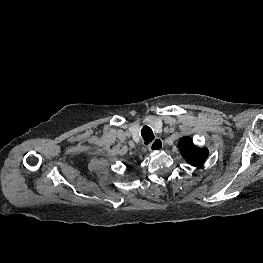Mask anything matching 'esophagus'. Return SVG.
Listing matches in <instances>:
<instances>
[{"mask_svg": "<svg viewBox=\"0 0 263 263\" xmlns=\"http://www.w3.org/2000/svg\"><path fill=\"white\" fill-rule=\"evenodd\" d=\"M164 144L161 138H156L154 141H152L149 146L148 149L149 151L153 152V151H158L161 150L163 148Z\"/></svg>", "mask_w": 263, "mask_h": 263, "instance_id": "esophagus-1", "label": "esophagus"}]
</instances>
